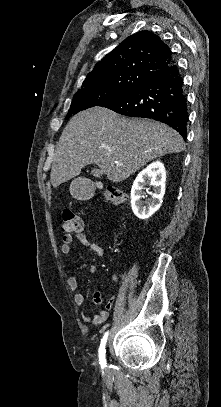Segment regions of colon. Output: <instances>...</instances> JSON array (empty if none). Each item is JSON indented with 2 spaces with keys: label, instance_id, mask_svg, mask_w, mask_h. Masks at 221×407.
<instances>
[{
  "label": "colon",
  "instance_id": "colon-1",
  "mask_svg": "<svg viewBox=\"0 0 221 407\" xmlns=\"http://www.w3.org/2000/svg\"><path fill=\"white\" fill-rule=\"evenodd\" d=\"M104 197L114 205L123 204L127 198L125 193L115 186H108L104 191ZM82 229V219L72 211H65L60 224V231L65 235H71L80 232Z\"/></svg>",
  "mask_w": 221,
  "mask_h": 407
}]
</instances>
